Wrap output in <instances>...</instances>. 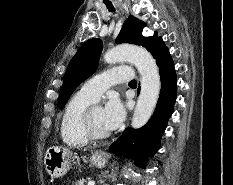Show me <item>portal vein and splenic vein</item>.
<instances>
[{"mask_svg": "<svg viewBox=\"0 0 233 185\" xmlns=\"http://www.w3.org/2000/svg\"><path fill=\"white\" fill-rule=\"evenodd\" d=\"M87 185H95L94 181H89Z\"/></svg>", "mask_w": 233, "mask_h": 185, "instance_id": "obj_1", "label": "portal vein and splenic vein"}]
</instances>
